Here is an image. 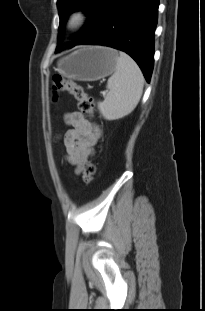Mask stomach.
<instances>
[{
	"mask_svg": "<svg viewBox=\"0 0 205 311\" xmlns=\"http://www.w3.org/2000/svg\"><path fill=\"white\" fill-rule=\"evenodd\" d=\"M118 53L108 47H83L61 58L56 71L77 81H96L116 70Z\"/></svg>",
	"mask_w": 205,
	"mask_h": 311,
	"instance_id": "0dacf381",
	"label": "stomach"
}]
</instances>
